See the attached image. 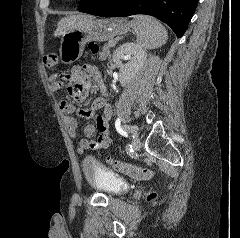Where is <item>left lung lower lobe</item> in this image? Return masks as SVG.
Returning a JSON list of instances; mask_svg holds the SVG:
<instances>
[{
    "mask_svg": "<svg viewBox=\"0 0 240 238\" xmlns=\"http://www.w3.org/2000/svg\"><path fill=\"white\" fill-rule=\"evenodd\" d=\"M197 3L198 0H99L83 12L101 17L151 15L167 23L180 38L188 27Z\"/></svg>",
    "mask_w": 240,
    "mask_h": 238,
    "instance_id": "obj_1",
    "label": "left lung lower lobe"
}]
</instances>
